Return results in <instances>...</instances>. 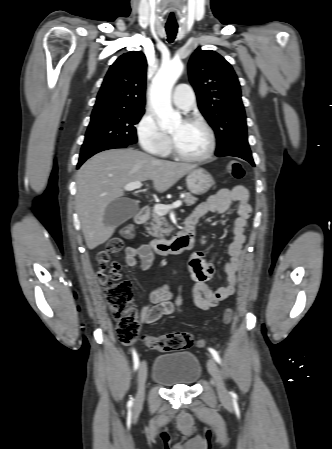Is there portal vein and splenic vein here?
Wrapping results in <instances>:
<instances>
[{"mask_svg":"<svg viewBox=\"0 0 332 449\" xmlns=\"http://www.w3.org/2000/svg\"><path fill=\"white\" fill-rule=\"evenodd\" d=\"M142 187V183L140 181H135V182H131L128 183L124 186V190L126 191H132V190H136V189H140ZM182 205V201L181 200H177L174 203H172L171 205H163V204H156L154 206V211L159 214V215H164L166 214L168 211L174 209V208H178Z\"/></svg>","mask_w":332,"mask_h":449,"instance_id":"18ae733b","label":"portal vein and splenic vein"}]
</instances>
